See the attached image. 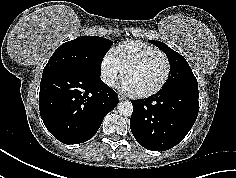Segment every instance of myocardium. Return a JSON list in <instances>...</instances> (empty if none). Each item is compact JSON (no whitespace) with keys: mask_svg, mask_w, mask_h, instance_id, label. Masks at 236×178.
I'll use <instances>...</instances> for the list:
<instances>
[{"mask_svg":"<svg viewBox=\"0 0 236 178\" xmlns=\"http://www.w3.org/2000/svg\"><path fill=\"white\" fill-rule=\"evenodd\" d=\"M161 57L164 59L165 63H166V73L163 77V79L161 80V82L154 88L144 91V92H133L132 94L135 97L138 98H146L149 96H152L156 93H158L167 83V81L169 80V77L171 75V70H172V65H171V61L170 59L163 53H154V54H150L147 55L145 57L133 60L132 62H130L124 69V74H123V79L125 80V77L127 76V74L132 71L133 69L140 67L141 65L145 64L146 62Z\"/></svg>","mask_w":236,"mask_h":178,"instance_id":"f54148a6","label":"myocardium"}]
</instances>
